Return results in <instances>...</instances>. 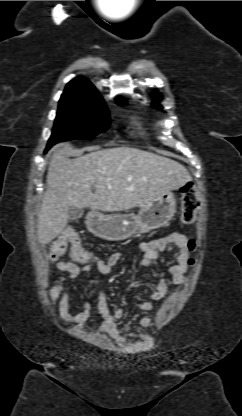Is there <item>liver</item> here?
<instances>
[{
  "mask_svg": "<svg viewBox=\"0 0 242 416\" xmlns=\"http://www.w3.org/2000/svg\"><path fill=\"white\" fill-rule=\"evenodd\" d=\"M190 180L180 163L137 148L97 150L75 159L66 158L64 149H59L49 162L38 240L48 244L64 230L70 206L105 212L143 208Z\"/></svg>",
  "mask_w": 242,
  "mask_h": 416,
  "instance_id": "1",
  "label": "liver"
}]
</instances>
